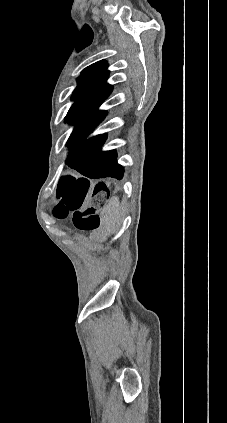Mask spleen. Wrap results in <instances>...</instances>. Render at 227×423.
<instances>
[{
    "label": "spleen",
    "mask_w": 227,
    "mask_h": 423,
    "mask_svg": "<svg viewBox=\"0 0 227 423\" xmlns=\"http://www.w3.org/2000/svg\"><path fill=\"white\" fill-rule=\"evenodd\" d=\"M101 219L107 229H116L118 227L121 219V211L120 202L116 196L111 198L108 206L102 211Z\"/></svg>",
    "instance_id": "spleen-1"
}]
</instances>
